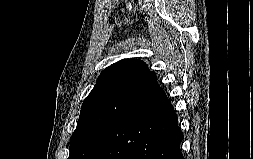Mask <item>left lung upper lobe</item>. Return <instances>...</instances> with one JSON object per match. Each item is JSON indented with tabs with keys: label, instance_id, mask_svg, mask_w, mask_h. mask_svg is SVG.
<instances>
[{
	"label": "left lung upper lobe",
	"instance_id": "1",
	"mask_svg": "<svg viewBox=\"0 0 253 159\" xmlns=\"http://www.w3.org/2000/svg\"><path fill=\"white\" fill-rule=\"evenodd\" d=\"M156 80L147 64L134 58L104 69L82 104L68 159H91L118 114Z\"/></svg>",
	"mask_w": 253,
	"mask_h": 159
}]
</instances>
